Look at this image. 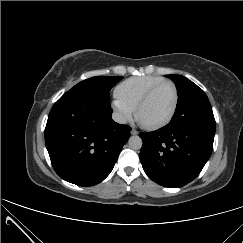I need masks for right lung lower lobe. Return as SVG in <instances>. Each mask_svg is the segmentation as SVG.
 Segmentation results:
<instances>
[{
	"label": "right lung lower lobe",
	"mask_w": 243,
	"mask_h": 243,
	"mask_svg": "<svg viewBox=\"0 0 243 243\" xmlns=\"http://www.w3.org/2000/svg\"><path fill=\"white\" fill-rule=\"evenodd\" d=\"M112 111L110 103L80 92H67L54 104L45 142L61 178L92 186L109 175L131 131L112 120Z\"/></svg>",
	"instance_id": "1"
}]
</instances>
